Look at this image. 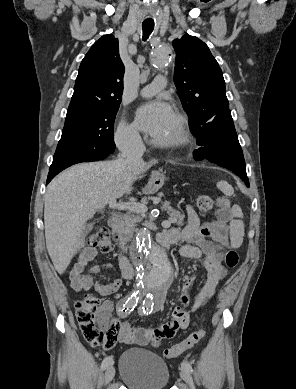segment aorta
<instances>
[{"label": "aorta", "instance_id": "1", "mask_svg": "<svg viewBox=\"0 0 296 389\" xmlns=\"http://www.w3.org/2000/svg\"><path fill=\"white\" fill-rule=\"evenodd\" d=\"M173 59L174 52L169 46L157 44L151 49V60L155 67H165ZM130 253L137 266L138 285L147 290L149 299L169 287L173 279L172 265L165 250L154 242L147 229L138 233Z\"/></svg>", "mask_w": 296, "mask_h": 389}]
</instances>
